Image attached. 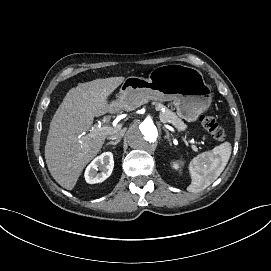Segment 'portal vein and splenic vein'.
Listing matches in <instances>:
<instances>
[{
	"label": "portal vein and splenic vein",
	"instance_id": "18ae733b",
	"mask_svg": "<svg viewBox=\"0 0 271 271\" xmlns=\"http://www.w3.org/2000/svg\"><path fill=\"white\" fill-rule=\"evenodd\" d=\"M112 130H113V128H111V127H102L99 124H94L91 127L90 132L93 133L94 135H109L112 132ZM84 134L85 133L80 134L79 137L81 138ZM186 140L188 141L189 139L187 138ZM188 142L190 143L191 141L189 140ZM191 145L193 146L194 143L192 142ZM193 150L195 152H198V149L195 146L193 147Z\"/></svg>",
	"mask_w": 271,
	"mask_h": 271
}]
</instances>
